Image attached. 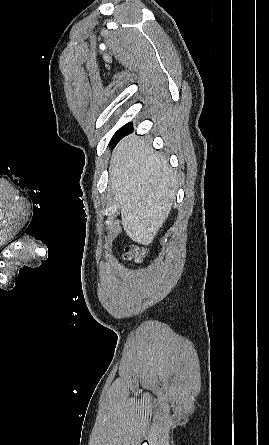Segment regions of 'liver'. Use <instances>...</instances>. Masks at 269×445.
Instances as JSON below:
<instances>
[{
    "mask_svg": "<svg viewBox=\"0 0 269 445\" xmlns=\"http://www.w3.org/2000/svg\"><path fill=\"white\" fill-rule=\"evenodd\" d=\"M109 172L126 234L149 245L171 211L176 174L149 143L134 136L125 137L114 149Z\"/></svg>",
    "mask_w": 269,
    "mask_h": 445,
    "instance_id": "obj_1",
    "label": "liver"
}]
</instances>
